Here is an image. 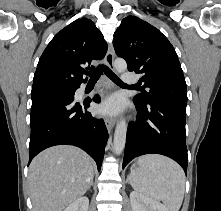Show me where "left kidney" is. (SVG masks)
<instances>
[{
  "label": "left kidney",
  "mask_w": 221,
  "mask_h": 211,
  "mask_svg": "<svg viewBox=\"0 0 221 211\" xmlns=\"http://www.w3.org/2000/svg\"><path fill=\"white\" fill-rule=\"evenodd\" d=\"M130 202L133 211H169L159 201L144 196L137 191L130 193Z\"/></svg>",
  "instance_id": "5707ae66"
}]
</instances>
